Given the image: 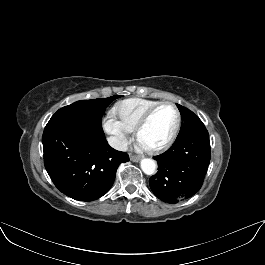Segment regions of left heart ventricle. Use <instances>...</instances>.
Instances as JSON below:
<instances>
[{
    "label": "left heart ventricle",
    "instance_id": "obj_1",
    "mask_svg": "<svg viewBox=\"0 0 265 265\" xmlns=\"http://www.w3.org/2000/svg\"><path fill=\"white\" fill-rule=\"evenodd\" d=\"M176 123V113L170 106L161 107L152 116L140 134V141L147 147L162 144L172 133Z\"/></svg>",
    "mask_w": 265,
    "mask_h": 265
}]
</instances>
